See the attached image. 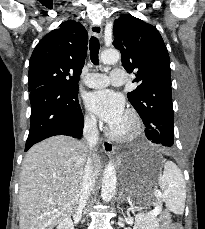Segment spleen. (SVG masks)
<instances>
[{"instance_id":"3e777b00","label":"spleen","mask_w":205,"mask_h":229,"mask_svg":"<svg viewBox=\"0 0 205 229\" xmlns=\"http://www.w3.org/2000/svg\"><path fill=\"white\" fill-rule=\"evenodd\" d=\"M159 187L163 191L161 198L173 213L181 215L185 208L186 186L181 170L172 161L164 164L159 176Z\"/></svg>"}]
</instances>
